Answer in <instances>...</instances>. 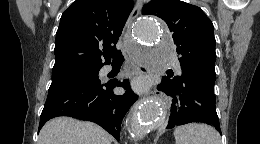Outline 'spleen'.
<instances>
[{"label": "spleen", "mask_w": 260, "mask_h": 144, "mask_svg": "<svg viewBox=\"0 0 260 144\" xmlns=\"http://www.w3.org/2000/svg\"><path fill=\"white\" fill-rule=\"evenodd\" d=\"M176 144H221L220 134L211 126L189 123L174 130Z\"/></svg>", "instance_id": "spleen-1"}]
</instances>
